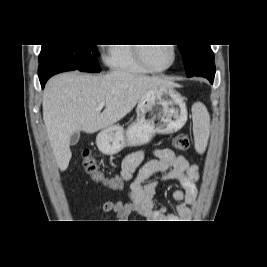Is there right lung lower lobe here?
Instances as JSON below:
<instances>
[{"instance_id": "right-lung-lower-lobe-1", "label": "right lung lower lobe", "mask_w": 267, "mask_h": 267, "mask_svg": "<svg viewBox=\"0 0 267 267\" xmlns=\"http://www.w3.org/2000/svg\"><path fill=\"white\" fill-rule=\"evenodd\" d=\"M77 70L76 68L69 66L65 63H61L55 60H46L39 62L38 75L42 88H44L47 80L58 73Z\"/></svg>"}]
</instances>
